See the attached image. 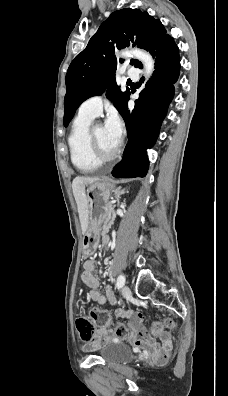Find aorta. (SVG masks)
<instances>
[{"mask_svg": "<svg viewBox=\"0 0 228 396\" xmlns=\"http://www.w3.org/2000/svg\"><path fill=\"white\" fill-rule=\"evenodd\" d=\"M122 58L132 57L141 61L144 65L145 76L150 77L154 71V60L152 56L141 49L124 50L120 53Z\"/></svg>", "mask_w": 228, "mask_h": 396, "instance_id": "aorta-1", "label": "aorta"}]
</instances>
